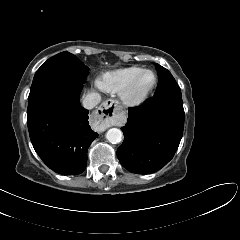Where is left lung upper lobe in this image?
I'll list each match as a JSON object with an SVG mask.
<instances>
[{
    "label": "left lung upper lobe",
    "instance_id": "left-lung-upper-lobe-1",
    "mask_svg": "<svg viewBox=\"0 0 240 240\" xmlns=\"http://www.w3.org/2000/svg\"><path fill=\"white\" fill-rule=\"evenodd\" d=\"M156 69L159 75V84L155 95L170 93L181 94V91L171 73L159 64H156Z\"/></svg>",
    "mask_w": 240,
    "mask_h": 240
}]
</instances>
